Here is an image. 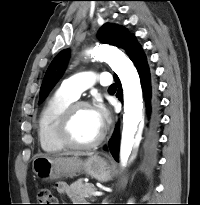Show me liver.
I'll return each mask as SVG.
<instances>
[{
  "label": "liver",
  "mask_w": 200,
  "mask_h": 205,
  "mask_svg": "<svg viewBox=\"0 0 200 205\" xmlns=\"http://www.w3.org/2000/svg\"><path fill=\"white\" fill-rule=\"evenodd\" d=\"M62 155H75V156L89 155V156H91V155H92V153H82V152H66V153H63Z\"/></svg>",
  "instance_id": "6515ba94"
}]
</instances>
